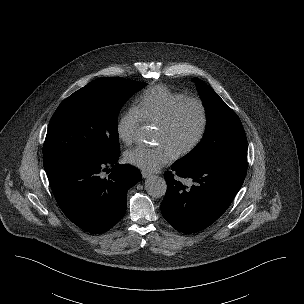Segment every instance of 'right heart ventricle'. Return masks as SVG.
Masks as SVG:
<instances>
[{"mask_svg": "<svg viewBox=\"0 0 304 304\" xmlns=\"http://www.w3.org/2000/svg\"><path fill=\"white\" fill-rule=\"evenodd\" d=\"M185 96L162 85L154 86L140 94L135 102V108L142 120L158 124L168 110Z\"/></svg>", "mask_w": 304, "mask_h": 304, "instance_id": "e07e8e85", "label": "right heart ventricle"}]
</instances>
